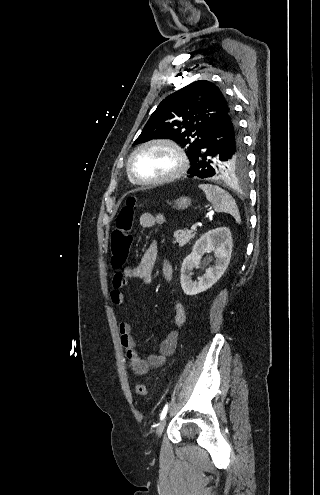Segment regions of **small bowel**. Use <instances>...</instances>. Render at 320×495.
Segmentation results:
<instances>
[{
    "instance_id": "c3829d8e",
    "label": "small bowel",
    "mask_w": 320,
    "mask_h": 495,
    "mask_svg": "<svg viewBox=\"0 0 320 495\" xmlns=\"http://www.w3.org/2000/svg\"><path fill=\"white\" fill-rule=\"evenodd\" d=\"M160 221V216L152 213H144L139 219L140 225L146 229L154 228ZM157 253L158 245L156 241H153L135 266L126 267L121 272L114 274L112 279L113 289L110 293V300L113 305L120 306L124 303L122 288L126 285L127 279H137L142 284L151 282ZM162 274L167 282L172 281L173 267L169 261L163 262ZM174 308L173 330L160 341L158 352L149 355L145 359L141 358L137 352L131 325L126 321L119 324L120 342L125 349L128 365L133 373L144 375L151 369L161 367L165 364L166 359L174 353L177 346L178 331L183 328L186 322L183 304L177 301L174 304Z\"/></svg>"
}]
</instances>
